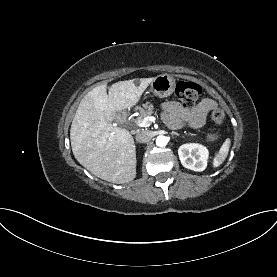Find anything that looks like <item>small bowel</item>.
<instances>
[{
	"mask_svg": "<svg viewBox=\"0 0 277 277\" xmlns=\"http://www.w3.org/2000/svg\"><path fill=\"white\" fill-rule=\"evenodd\" d=\"M216 106V102L209 98L203 99L192 109L179 102L169 101L162 105V116L167 125L174 129L183 125L200 128L204 125L207 114Z\"/></svg>",
	"mask_w": 277,
	"mask_h": 277,
	"instance_id": "1",
	"label": "small bowel"
}]
</instances>
